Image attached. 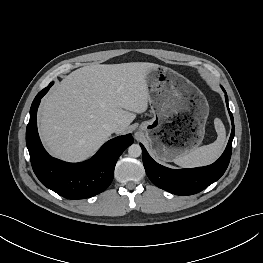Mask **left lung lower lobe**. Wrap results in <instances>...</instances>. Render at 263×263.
<instances>
[{"instance_id": "1", "label": "left lung lower lobe", "mask_w": 263, "mask_h": 263, "mask_svg": "<svg viewBox=\"0 0 263 263\" xmlns=\"http://www.w3.org/2000/svg\"><path fill=\"white\" fill-rule=\"evenodd\" d=\"M222 89L225 92L223 87ZM225 101L231 117L232 131L224 153L213 164L198 168L170 169L156 163L149 156L144 146L140 144L146 174L156 186L172 194L192 195L204 190L224 174L231 158L232 141L235 133L234 119L229 109L227 95H225Z\"/></svg>"}]
</instances>
